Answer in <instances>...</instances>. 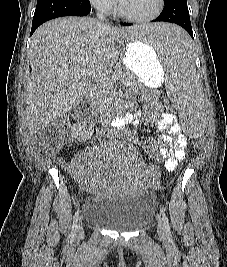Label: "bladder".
Wrapping results in <instances>:
<instances>
[{
    "instance_id": "obj_1",
    "label": "bladder",
    "mask_w": 227,
    "mask_h": 267,
    "mask_svg": "<svg viewBox=\"0 0 227 267\" xmlns=\"http://www.w3.org/2000/svg\"><path fill=\"white\" fill-rule=\"evenodd\" d=\"M155 212V197L142 191L119 198L91 195L84 205V218L91 226L129 232L150 221Z\"/></svg>"
}]
</instances>
